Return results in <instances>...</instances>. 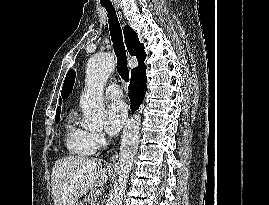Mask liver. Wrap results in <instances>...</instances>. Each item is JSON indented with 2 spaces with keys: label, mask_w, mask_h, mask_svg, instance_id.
<instances>
[{
  "label": "liver",
  "mask_w": 269,
  "mask_h": 205,
  "mask_svg": "<svg viewBox=\"0 0 269 205\" xmlns=\"http://www.w3.org/2000/svg\"><path fill=\"white\" fill-rule=\"evenodd\" d=\"M109 168L100 160L84 156L58 159L51 175L54 205H75L86 192L105 184Z\"/></svg>",
  "instance_id": "liver-1"
}]
</instances>
